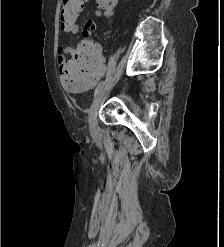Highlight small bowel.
I'll return each instance as SVG.
<instances>
[{"instance_id": "c3829d8e", "label": "small bowel", "mask_w": 224, "mask_h": 247, "mask_svg": "<svg viewBox=\"0 0 224 247\" xmlns=\"http://www.w3.org/2000/svg\"><path fill=\"white\" fill-rule=\"evenodd\" d=\"M87 1L88 0H83V3L84 2H87ZM95 15L97 17H100V16H102V12L99 9H97L95 11ZM95 30H96V24H95V22L92 19H89L86 22L85 29H84V31L82 33L84 39L90 38L92 32H94ZM66 31L68 33L72 34V35H75V34H77L79 32V27H78L77 24H74L71 27H69L68 29H66ZM59 52H60V54H59V57H58V61H59V64H62L65 61V58H64L63 53H65V52H71V51L64 50L63 48H60Z\"/></svg>"}]
</instances>
